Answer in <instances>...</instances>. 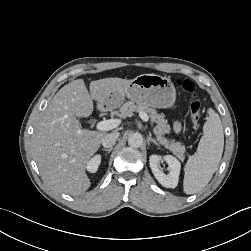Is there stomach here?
I'll return each instance as SVG.
<instances>
[{
  "label": "stomach",
  "mask_w": 251,
  "mask_h": 251,
  "mask_svg": "<svg viewBox=\"0 0 251 251\" xmlns=\"http://www.w3.org/2000/svg\"><path fill=\"white\" fill-rule=\"evenodd\" d=\"M125 97L139 105L154 108H171L176 100V90L167 77L141 74L126 86L110 92L104 104L107 108L119 107Z\"/></svg>",
  "instance_id": "1"
}]
</instances>
